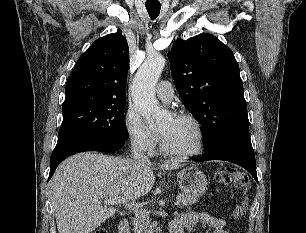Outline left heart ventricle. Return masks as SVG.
<instances>
[{
	"mask_svg": "<svg viewBox=\"0 0 306 233\" xmlns=\"http://www.w3.org/2000/svg\"><path fill=\"white\" fill-rule=\"evenodd\" d=\"M167 145L176 151L194 150L198 143V135L192 122L170 117L159 129Z\"/></svg>",
	"mask_w": 306,
	"mask_h": 233,
	"instance_id": "obj_1",
	"label": "left heart ventricle"
}]
</instances>
